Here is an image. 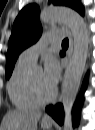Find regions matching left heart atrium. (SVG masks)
<instances>
[{"instance_id":"obj_1","label":"left heart atrium","mask_w":95,"mask_h":130,"mask_svg":"<svg viewBox=\"0 0 95 130\" xmlns=\"http://www.w3.org/2000/svg\"><path fill=\"white\" fill-rule=\"evenodd\" d=\"M43 75L45 82L50 87L55 88L60 78V66L54 56L46 57Z\"/></svg>"}]
</instances>
